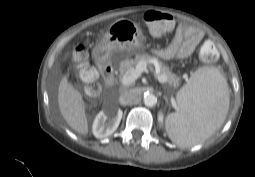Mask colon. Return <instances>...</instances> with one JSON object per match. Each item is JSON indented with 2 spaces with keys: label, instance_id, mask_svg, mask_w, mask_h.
<instances>
[{
  "label": "colon",
  "instance_id": "1",
  "mask_svg": "<svg viewBox=\"0 0 255 177\" xmlns=\"http://www.w3.org/2000/svg\"><path fill=\"white\" fill-rule=\"evenodd\" d=\"M144 20L154 36H161L168 32L174 25V18L170 14L159 11H148L144 15ZM199 56L203 61L213 62L218 57V51L215 44L207 39L200 49ZM71 63L78 76L89 83L88 92L94 94L96 87L94 81L97 78L96 69L88 62V54L84 47H78L72 53Z\"/></svg>",
  "mask_w": 255,
  "mask_h": 177
}]
</instances>
